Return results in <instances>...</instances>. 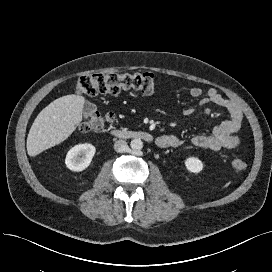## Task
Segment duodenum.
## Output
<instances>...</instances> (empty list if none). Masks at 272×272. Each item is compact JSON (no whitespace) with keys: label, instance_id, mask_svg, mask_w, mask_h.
<instances>
[{"label":"duodenum","instance_id":"410a0bca","mask_svg":"<svg viewBox=\"0 0 272 272\" xmlns=\"http://www.w3.org/2000/svg\"><path fill=\"white\" fill-rule=\"evenodd\" d=\"M111 134L116 138L121 139H141L147 142H153V136L147 131H136V130H127V129H113ZM157 143V140H156Z\"/></svg>","mask_w":272,"mask_h":272}]
</instances>
